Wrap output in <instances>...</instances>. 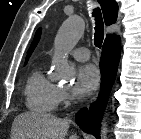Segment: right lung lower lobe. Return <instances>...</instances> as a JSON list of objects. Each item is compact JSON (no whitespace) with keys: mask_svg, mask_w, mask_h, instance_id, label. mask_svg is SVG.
<instances>
[{"mask_svg":"<svg viewBox=\"0 0 141 139\" xmlns=\"http://www.w3.org/2000/svg\"><path fill=\"white\" fill-rule=\"evenodd\" d=\"M121 43L120 37L111 35L106 37L102 48L100 69L102 74L101 94L90 111L81 109L75 117V121L86 133L94 135L99 139V129L103 112L105 110L108 96L114 83L117 67L120 59Z\"/></svg>","mask_w":141,"mask_h":139,"instance_id":"98d812e1","label":"right lung lower lobe"}]
</instances>
